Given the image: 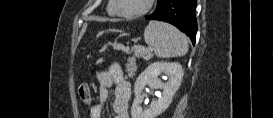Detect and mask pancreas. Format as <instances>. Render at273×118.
Returning a JSON list of instances; mask_svg holds the SVG:
<instances>
[{
  "label": "pancreas",
  "instance_id": "cf45deb5",
  "mask_svg": "<svg viewBox=\"0 0 273 118\" xmlns=\"http://www.w3.org/2000/svg\"><path fill=\"white\" fill-rule=\"evenodd\" d=\"M142 49H143V47H140V46H135L132 48V52H134V57L128 58V64L126 67V71H127L129 77H132L137 70L136 58H139L144 54ZM126 52L129 53L128 50Z\"/></svg>",
  "mask_w": 273,
  "mask_h": 118
}]
</instances>
